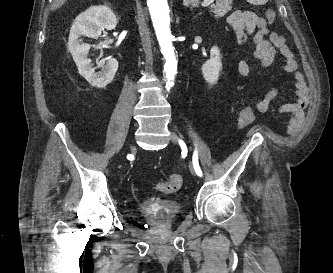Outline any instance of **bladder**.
<instances>
[{
	"instance_id": "1",
	"label": "bladder",
	"mask_w": 333,
	"mask_h": 273,
	"mask_svg": "<svg viewBox=\"0 0 333 273\" xmlns=\"http://www.w3.org/2000/svg\"><path fill=\"white\" fill-rule=\"evenodd\" d=\"M140 213L158 227L171 226L180 213V205L174 200H161L156 204L147 202L139 207Z\"/></svg>"
}]
</instances>
